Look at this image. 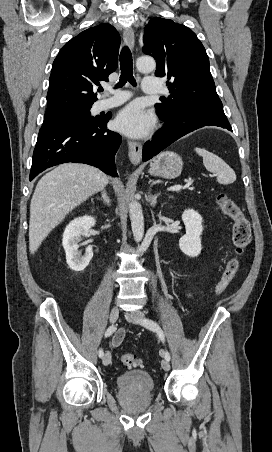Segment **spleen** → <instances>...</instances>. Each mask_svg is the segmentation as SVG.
I'll list each match as a JSON object with an SVG mask.
<instances>
[{
	"label": "spleen",
	"instance_id": "spleen-1",
	"mask_svg": "<svg viewBox=\"0 0 272 452\" xmlns=\"http://www.w3.org/2000/svg\"><path fill=\"white\" fill-rule=\"evenodd\" d=\"M195 152L203 158L205 168L216 173L217 181L220 184L228 185L236 180L234 170L226 164L219 156L207 151L204 148H195Z\"/></svg>",
	"mask_w": 272,
	"mask_h": 452
}]
</instances>
